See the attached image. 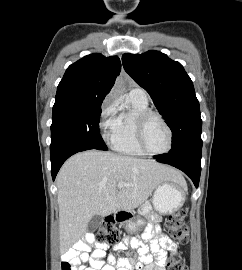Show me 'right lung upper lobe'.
<instances>
[{"instance_id": "obj_1", "label": "right lung upper lobe", "mask_w": 242, "mask_h": 270, "mask_svg": "<svg viewBox=\"0 0 242 270\" xmlns=\"http://www.w3.org/2000/svg\"><path fill=\"white\" fill-rule=\"evenodd\" d=\"M121 71L117 56L91 54L70 65L57 87L55 104L91 106L102 104Z\"/></svg>"}]
</instances>
